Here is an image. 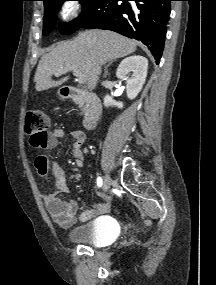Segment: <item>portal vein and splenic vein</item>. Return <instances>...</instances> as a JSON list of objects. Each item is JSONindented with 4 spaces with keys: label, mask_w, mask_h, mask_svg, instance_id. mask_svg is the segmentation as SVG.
<instances>
[{
    "label": "portal vein and splenic vein",
    "mask_w": 216,
    "mask_h": 285,
    "mask_svg": "<svg viewBox=\"0 0 216 285\" xmlns=\"http://www.w3.org/2000/svg\"><path fill=\"white\" fill-rule=\"evenodd\" d=\"M73 71V74L77 77V81L79 84H84L86 82V75L81 73L78 69L73 68L71 69ZM67 70L61 69L57 73H55V76L62 75L65 73Z\"/></svg>",
    "instance_id": "18ae733b"
}]
</instances>
